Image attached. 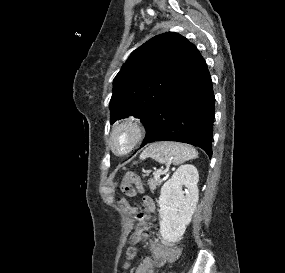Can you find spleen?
Wrapping results in <instances>:
<instances>
[{
  "label": "spleen",
  "mask_w": 285,
  "mask_h": 273,
  "mask_svg": "<svg viewBox=\"0 0 285 273\" xmlns=\"http://www.w3.org/2000/svg\"><path fill=\"white\" fill-rule=\"evenodd\" d=\"M197 157L198 153L192 146L167 141L151 144L140 156L142 160L152 158L161 164L171 162L174 165L182 164Z\"/></svg>",
  "instance_id": "spleen-1"
}]
</instances>
